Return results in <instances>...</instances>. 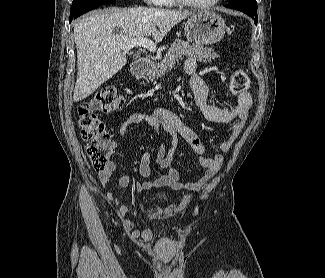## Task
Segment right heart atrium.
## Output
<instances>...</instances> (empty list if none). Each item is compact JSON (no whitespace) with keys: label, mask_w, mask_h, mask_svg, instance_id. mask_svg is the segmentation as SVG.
<instances>
[{"label":"right heart atrium","mask_w":325,"mask_h":278,"mask_svg":"<svg viewBox=\"0 0 325 278\" xmlns=\"http://www.w3.org/2000/svg\"><path fill=\"white\" fill-rule=\"evenodd\" d=\"M145 1L146 3H150V4H161L163 0H143Z\"/></svg>","instance_id":"d8ad5b80"}]
</instances>
